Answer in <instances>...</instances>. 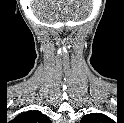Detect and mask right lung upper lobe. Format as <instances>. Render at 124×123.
Returning a JSON list of instances; mask_svg holds the SVG:
<instances>
[{"label": "right lung upper lobe", "instance_id": "cb5924a9", "mask_svg": "<svg viewBox=\"0 0 124 123\" xmlns=\"http://www.w3.org/2000/svg\"><path fill=\"white\" fill-rule=\"evenodd\" d=\"M16 120L23 123H49V118L39 111L24 112L16 117Z\"/></svg>", "mask_w": 124, "mask_h": 123}]
</instances>
